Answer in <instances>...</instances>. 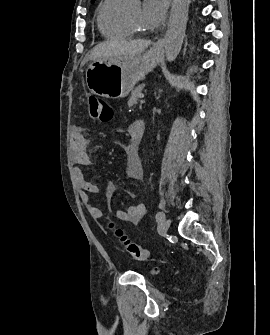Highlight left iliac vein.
<instances>
[{
    "label": "left iliac vein",
    "mask_w": 270,
    "mask_h": 335,
    "mask_svg": "<svg viewBox=\"0 0 270 335\" xmlns=\"http://www.w3.org/2000/svg\"><path fill=\"white\" fill-rule=\"evenodd\" d=\"M170 227V220L169 219H166L164 222H163V225H162V231L164 233H166L168 231Z\"/></svg>",
    "instance_id": "left-iliac-vein-1"
}]
</instances>
